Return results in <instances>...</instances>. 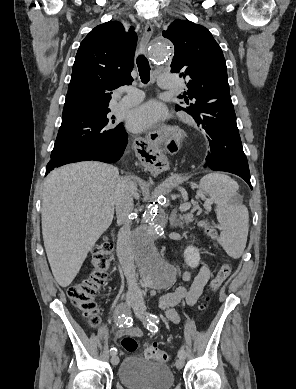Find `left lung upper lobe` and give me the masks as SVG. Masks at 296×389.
<instances>
[{
	"label": "left lung upper lobe",
	"instance_id": "left-lung-upper-lobe-1",
	"mask_svg": "<svg viewBox=\"0 0 296 389\" xmlns=\"http://www.w3.org/2000/svg\"><path fill=\"white\" fill-rule=\"evenodd\" d=\"M162 34L175 48L171 72L188 81V92L179 97L193 100L187 108L176 105V110L190 114L199 126L207 110L230 97L222 50L207 28L189 20H175Z\"/></svg>",
	"mask_w": 296,
	"mask_h": 389
}]
</instances>
